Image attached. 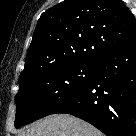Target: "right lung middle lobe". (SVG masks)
Returning <instances> with one entry per match:
<instances>
[{
    "mask_svg": "<svg viewBox=\"0 0 136 136\" xmlns=\"http://www.w3.org/2000/svg\"><path fill=\"white\" fill-rule=\"evenodd\" d=\"M95 70L96 64H64L44 69L20 82L15 98V127L52 114L90 84Z\"/></svg>",
    "mask_w": 136,
    "mask_h": 136,
    "instance_id": "dd1d6c3e",
    "label": "right lung middle lobe"
}]
</instances>
